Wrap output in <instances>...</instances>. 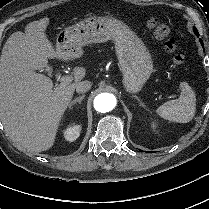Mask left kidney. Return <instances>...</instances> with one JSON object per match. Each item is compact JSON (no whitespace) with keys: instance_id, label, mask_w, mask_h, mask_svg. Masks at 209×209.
<instances>
[{"instance_id":"1","label":"left kidney","mask_w":209,"mask_h":209,"mask_svg":"<svg viewBox=\"0 0 209 209\" xmlns=\"http://www.w3.org/2000/svg\"><path fill=\"white\" fill-rule=\"evenodd\" d=\"M151 126L153 127V129H155L157 127V122H152Z\"/></svg>"}]
</instances>
